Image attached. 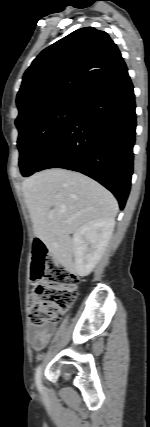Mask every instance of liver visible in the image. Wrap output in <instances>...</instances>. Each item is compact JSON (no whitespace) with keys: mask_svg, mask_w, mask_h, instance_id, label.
<instances>
[{"mask_svg":"<svg viewBox=\"0 0 150 427\" xmlns=\"http://www.w3.org/2000/svg\"><path fill=\"white\" fill-rule=\"evenodd\" d=\"M34 235L65 267L72 268V241L88 222L114 219L118 203L113 194L91 178L61 168L35 173L22 183Z\"/></svg>","mask_w":150,"mask_h":427,"instance_id":"6515ba94","label":"liver"}]
</instances>
